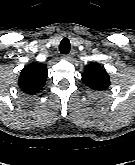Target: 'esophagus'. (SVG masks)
<instances>
[{"mask_svg": "<svg viewBox=\"0 0 135 165\" xmlns=\"http://www.w3.org/2000/svg\"><path fill=\"white\" fill-rule=\"evenodd\" d=\"M73 56H74V52H71L69 54H64L63 55V59H65V60H71L73 58Z\"/></svg>", "mask_w": 135, "mask_h": 165, "instance_id": "obj_1", "label": "esophagus"}]
</instances>
